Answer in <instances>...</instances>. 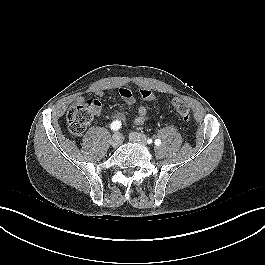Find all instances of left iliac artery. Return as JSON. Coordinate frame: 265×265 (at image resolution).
Masks as SVG:
<instances>
[{"label":"left iliac artery","mask_w":265,"mask_h":265,"mask_svg":"<svg viewBox=\"0 0 265 265\" xmlns=\"http://www.w3.org/2000/svg\"><path fill=\"white\" fill-rule=\"evenodd\" d=\"M151 142L152 141L149 139L148 143H151ZM154 143H155L156 146H159L161 144V140L160 139H156Z\"/></svg>","instance_id":"44dca946"}]
</instances>
